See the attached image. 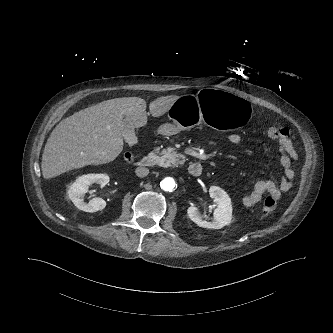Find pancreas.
Wrapping results in <instances>:
<instances>
[{
	"label": "pancreas",
	"instance_id": "pancreas-1",
	"mask_svg": "<svg viewBox=\"0 0 333 333\" xmlns=\"http://www.w3.org/2000/svg\"><path fill=\"white\" fill-rule=\"evenodd\" d=\"M155 154L159 155L158 162L162 167H175L178 164H182L185 159L183 155L178 154L173 147L163 149L161 152H159V148H156ZM179 158H183V160H179Z\"/></svg>",
	"mask_w": 333,
	"mask_h": 333
}]
</instances>
